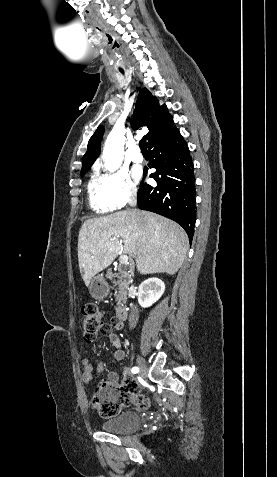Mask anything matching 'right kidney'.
<instances>
[{
	"label": "right kidney",
	"mask_w": 277,
	"mask_h": 477,
	"mask_svg": "<svg viewBox=\"0 0 277 477\" xmlns=\"http://www.w3.org/2000/svg\"><path fill=\"white\" fill-rule=\"evenodd\" d=\"M165 291V284L159 278H148L138 288V302L141 307H150L158 301Z\"/></svg>",
	"instance_id": "ca27d5eb"
}]
</instances>
